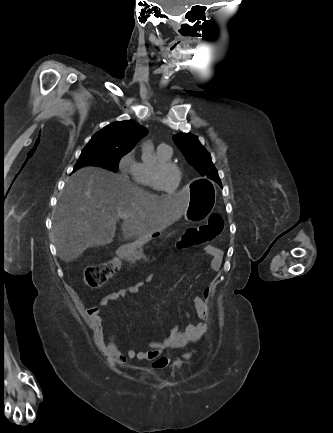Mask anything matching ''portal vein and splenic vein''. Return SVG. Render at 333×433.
<instances>
[{"label":"portal vein and splenic vein","instance_id":"18ae733b","mask_svg":"<svg viewBox=\"0 0 333 433\" xmlns=\"http://www.w3.org/2000/svg\"><path fill=\"white\" fill-rule=\"evenodd\" d=\"M131 215L129 214V213H119L118 214V219H121V220H126V219H128L129 217H130Z\"/></svg>","mask_w":333,"mask_h":433}]
</instances>
